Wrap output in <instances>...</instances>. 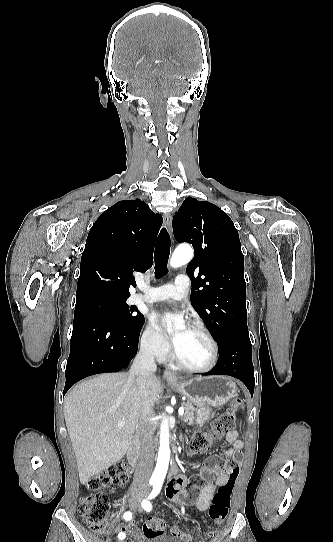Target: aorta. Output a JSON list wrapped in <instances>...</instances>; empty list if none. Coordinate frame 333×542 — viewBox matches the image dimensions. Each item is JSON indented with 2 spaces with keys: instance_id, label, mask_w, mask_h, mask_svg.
<instances>
[{
  "instance_id": "aorta-1",
  "label": "aorta",
  "mask_w": 333,
  "mask_h": 542,
  "mask_svg": "<svg viewBox=\"0 0 333 542\" xmlns=\"http://www.w3.org/2000/svg\"><path fill=\"white\" fill-rule=\"evenodd\" d=\"M193 256V250L188 246L187 252H183L182 248H179L178 252L175 250L170 260L171 268H180L187 264ZM162 424L160 428V448L158 452L156 468L152 474L151 482L154 488H161L165 476L167 474L169 460H170V446H169V426L166 416H162Z\"/></svg>"
}]
</instances>
